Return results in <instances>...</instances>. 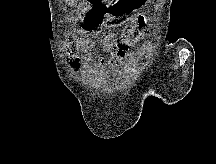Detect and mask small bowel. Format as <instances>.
<instances>
[{
    "instance_id": "c3829d8e",
    "label": "small bowel",
    "mask_w": 216,
    "mask_h": 164,
    "mask_svg": "<svg viewBox=\"0 0 216 164\" xmlns=\"http://www.w3.org/2000/svg\"><path fill=\"white\" fill-rule=\"evenodd\" d=\"M144 16H138L129 18L127 20V27L122 31L120 37L118 38L114 33L107 34L102 42V47L104 51L110 52L111 59L109 61V66L113 67L117 64L118 61L122 60L128 51V47L132 46L138 38H140L144 32L145 27ZM141 25L140 32L136 35L135 28L136 25ZM150 49V43L146 42L143 45V52L146 53Z\"/></svg>"
}]
</instances>
